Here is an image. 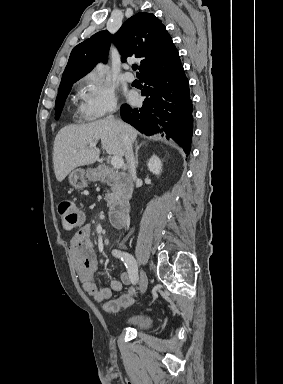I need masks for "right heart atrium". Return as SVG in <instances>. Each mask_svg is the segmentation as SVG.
<instances>
[{"label":"right heart atrium","instance_id":"obj_1","mask_svg":"<svg viewBox=\"0 0 283 384\" xmlns=\"http://www.w3.org/2000/svg\"><path fill=\"white\" fill-rule=\"evenodd\" d=\"M81 98L79 116L82 121L98 125L119 106L113 85L95 73H87L78 83Z\"/></svg>","mask_w":283,"mask_h":384}]
</instances>
